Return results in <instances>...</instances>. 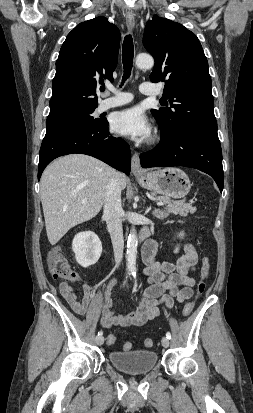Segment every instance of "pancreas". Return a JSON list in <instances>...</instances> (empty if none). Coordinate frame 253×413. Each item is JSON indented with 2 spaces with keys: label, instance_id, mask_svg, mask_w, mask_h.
Listing matches in <instances>:
<instances>
[{
  "label": "pancreas",
  "instance_id": "obj_1",
  "mask_svg": "<svg viewBox=\"0 0 253 413\" xmlns=\"http://www.w3.org/2000/svg\"><path fill=\"white\" fill-rule=\"evenodd\" d=\"M151 195L166 205V216L169 213H173L175 215L186 217L188 213L196 212V207H193L191 202L186 203L185 201H173L166 196H157L156 193H152Z\"/></svg>",
  "mask_w": 253,
  "mask_h": 413
}]
</instances>
